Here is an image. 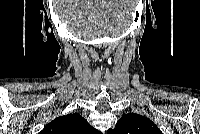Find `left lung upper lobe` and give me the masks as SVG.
I'll return each instance as SVG.
<instances>
[{"label":"left lung upper lobe","instance_id":"left-lung-upper-lobe-1","mask_svg":"<svg viewBox=\"0 0 200 134\" xmlns=\"http://www.w3.org/2000/svg\"><path fill=\"white\" fill-rule=\"evenodd\" d=\"M108 134H162L160 129L147 117L129 113L121 117L115 128Z\"/></svg>","mask_w":200,"mask_h":134}]
</instances>
